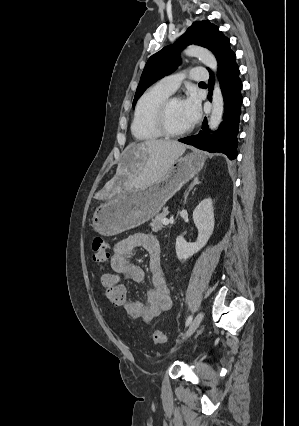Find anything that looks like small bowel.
Listing matches in <instances>:
<instances>
[{
  "label": "small bowel",
  "instance_id": "c3829d8e",
  "mask_svg": "<svg viewBox=\"0 0 299 426\" xmlns=\"http://www.w3.org/2000/svg\"><path fill=\"white\" fill-rule=\"evenodd\" d=\"M138 247L144 248L149 255V271L153 289L147 291L144 303L127 299L123 307L131 317L150 322L172 306L170 288L164 278L158 238L154 234L138 233L117 242L113 248L110 266L123 279L136 284H143L145 280L144 270L141 266L130 261Z\"/></svg>",
  "mask_w": 299,
  "mask_h": 426
}]
</instances>
